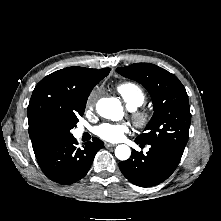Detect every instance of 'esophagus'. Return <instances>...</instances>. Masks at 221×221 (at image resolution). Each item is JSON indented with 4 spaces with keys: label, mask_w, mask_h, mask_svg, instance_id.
<instances>
[{
    "label": "esophagus",
    "mask_w": 221,
    "mask_h": 221,
    "mask_svg": "<svg viewBox=\"0 0 221 221\" xmlns=\"http://www.w3.org/2000/svg\"><path fill=\"white\" fill-rule=\"evenodd\" d=\"M104 145H105L106 148H112V147L116 146L115 144H111V143H108V142H105Z\"/></svg>",
    "instance_id": "esophagus-1"
}]
</instances>
